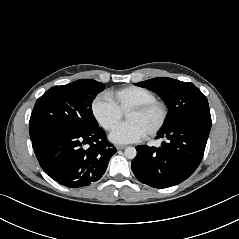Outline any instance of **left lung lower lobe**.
<instances>
[{
	"mask_svg": "<svg viewBox=\"0 0 239 239\" xmlns=\"http://www.w3.org/2000/svg\"><path fill=\"white\" fill-rule=\"evenodd\" d=\"M211 129V121L191 120L163 127L157 138L161 147L137 146L132 170L137 179L155 188H167L187 179L200 164Z\"/></svg>",
	"mask_w": 239,
	"mask_h": 239,
	"instance_id": "obj_1",
	"label": "left lung lower lobe"
}]
</instances>
